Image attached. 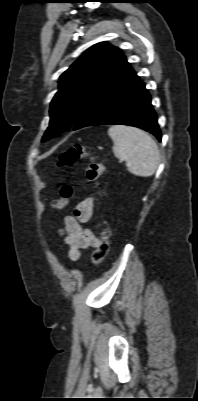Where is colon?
Listing matches in <instances>:
<instances>
[{"label":"colon","mask_w":198,"mask_h":401,"mask_svg":"<svg viewBox=\"0 0 198 401\" xmlns=\"http://www.w3.org/2000/svg\"><path fill=\"white\" fill-rule=\"evenodd\" d=\"M82 158L89 159L86 175L89 181L95 182L103 172V164L82 144H74L66 149L58 159V164L68 167ZM73 195V188L69 184H64L60 190V197L52 201V206L57 209L64 208ZM110 230L106 227L100 228L99 242L93 252L92 259L95 264H99L107 255L109 250Z\"/></svg>","instance_id":"5ec220e1"}]
</instances>
